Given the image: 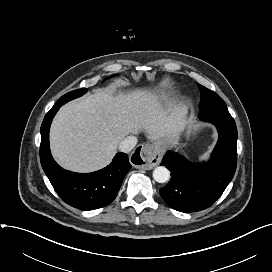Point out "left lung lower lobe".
<instances>
[{"mask_svg":"<svg viewBox=\"0 0 272 272\" xmlns=\"http://www.w3.org/2000/svg\"><path fill=\"white\" fill-rule=\"evenodd\" d=\"M199 115L219 133L210 161L196 165L168 151L161 162L171 171V180L160 189V195L168 206L185 213L210 207L232 180L237 166V127L227 107L202 110Z\"/></svg>","mask_w":272,"mask_h":272,"instance_id":"left-lung-lower-lobe-1","label":"left lung lower lobe"}]
</instances>
